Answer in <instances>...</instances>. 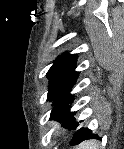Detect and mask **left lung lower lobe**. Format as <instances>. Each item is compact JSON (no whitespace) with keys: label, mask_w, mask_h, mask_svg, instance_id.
Wrapping results in <instances>:
<instances>
[{"label":"left lung lower lobe","mask_w":124,"mask_h":149,"mask_svg":"<svg viewBox=\"0 0 124 149\" xmlns=\"http://www.w3.org/2000/svg\"><path fill=\"white\" fill-rule=\"evenodd\" d=\"M89 139H101L97 134H93L92 130L88 129L87 127H82L76 131L74 137L72 139V145H76L81 143L84 140Z\"/></svg>","instance_id":"0a47b994"}]
</instances>
